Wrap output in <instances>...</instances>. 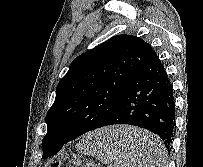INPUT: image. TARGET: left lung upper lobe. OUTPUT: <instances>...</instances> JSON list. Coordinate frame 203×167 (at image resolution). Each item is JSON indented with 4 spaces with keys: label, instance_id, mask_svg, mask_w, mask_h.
<instances>
[{
    "label": "left lung upper lobe",
    "instance_id": "left-lung-upper-lobe-1",
    "mask_svg": "<svg viewBox=\"0 0 203 167\" xmlns=\"http://www.w3.org/2000/svg\"><path fill=\"white\" fill-rule=\"evenodd\" d=\"M150 44L116 35L76 57L60 80L45 121L43 158L53 144L66 143L99 128L115 111L139 68L153 54Z\"/></svg>",
    "mask_w": 203,
    "mask_h": 167
}]
</instances>
